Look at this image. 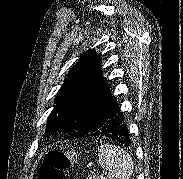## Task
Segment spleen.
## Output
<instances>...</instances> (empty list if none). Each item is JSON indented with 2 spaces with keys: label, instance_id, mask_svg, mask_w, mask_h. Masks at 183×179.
<instances>
[{
  "label": "spleen",
  "instance_id": "1",
  "mask_svg": "<svg viewBox=\"0 0 183 179\" xmlns=\"http://www.w3.org/2000/svg\"><path fill=\"white\" fill-rule=\"evenodd\" d=\"M98 162L108 171V179H129L133 174L134 163L131 156L113 144L100 146Z\"/></svg>",
  "mask_w": 183,
  "mask_h": 179
}]
</instances>
